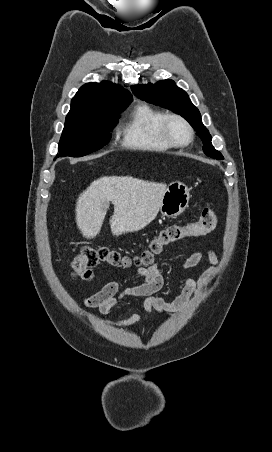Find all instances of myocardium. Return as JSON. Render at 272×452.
<instances>
[{
    "instance_id": "1",
    "label": "myocardium",
    "mask_w": 272,
    "mask_h": 452,
    "mask_svg": "<svg viewBox=\"0 0 272 452\" xmlns=\"http://www.w3.org/2000/svg\"><path fill=\"white\" fill-rule=\"evenodd\" d=\"M172 121H178L186 128L187 133H188V138L186 141L178 142L173 138V136L170 132V124ZM161 131H162V135H163L164 139L172 147H185L192 142L193 137H194V130H193L191 124L189 123V121L185 117H183L182 115L177 114V113L166 114V116L164 117V119L162 121Z\"/></svg>"
}]
</instances>
